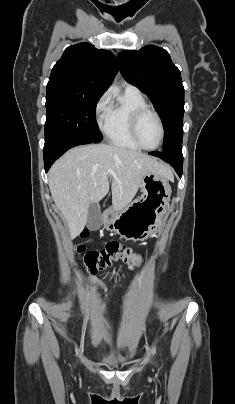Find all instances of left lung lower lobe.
I'll return each mask as SVG.
<instances>
[{
    "label": "left lung lower lobe",
    "instance_id": "0a47b994",
    "mask_svg": "<svg viewBox=\"0 0 235 404\" xmlns=\"http://www.w3.org/2000/svg\"><path fill=\"white\" fill-rule=\"evenodd\" d=\"M150 155L161 158L162 160L168 162L177 172L178 176L181 178L183 169V155L181 150L177 151H166V152H150Z\"/></svg>",
    "mask_w": 235,
    "mask_h": 404
}]
</instances>
